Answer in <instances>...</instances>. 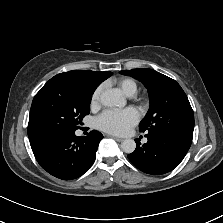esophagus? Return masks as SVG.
I'll list each match as a JSON object with an SVG mask.
<instances>
[{
  "label": "esophagus",
  "mask_w": 223,
  "mask_h": 223,
  "mask_svg": "<svg viewBox=\"0 0 223 223\" xmlns=\"http://www.w3.org/2000/svg\"><path fill=\"white\" fill-rule=\"evenodd\" d=\"M108 137L118 141V142H122L124 139L123 138H120V137H117V136H114V135H111L109 134Z\"/></svg>",
  "instance_id": "esophagus-1"
}]
</instances>
